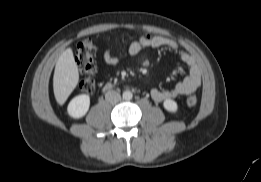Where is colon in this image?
<instances>
[{"label":"colon","mask_w":261,"mask_h":182,"mask_svg":"<svg viewBox=\"0 0 261 182\" xmlns=\"http://www.w3.org/2000/svg\"><path fill=\"white\" fill-rule=\"evenodd\" d=\"M95 52V45L89 38L80 42L75 52V61L79 69L85 74V77L79 82V87L86 93H92L95 90ZM186 104L189 107L195 106L197 104V97L194 94L189 95L186 99Z\"/></svg>","instance_id":"5ec220e1"}]
</instances>
